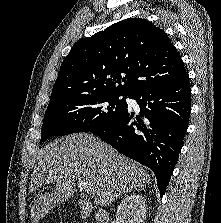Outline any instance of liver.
<instances>
[{
    "mask_svg": "<svg viewBox=\"0 0 221 223\" xmlns=\"http://www.w3.org/2000/svg\"><path fill=\"white\" fill-rule=\"evenodd\" d=\"M75 181L92 188L94 204L107 206L121 194L145 187L150 175L92 134L66 136L59 145L54 142L38 152L30 191L51 183L56 187L34 203L32 223H38L57 204L71 198L76 190Z\"/></svg>",
    "mask_w": 221,
    "mask_h": 223,
    "instance_id": "1",
    "label": "liver"
}]
</instances>
